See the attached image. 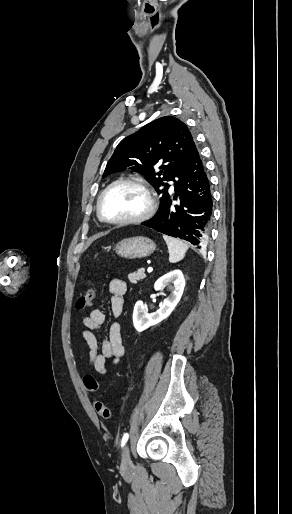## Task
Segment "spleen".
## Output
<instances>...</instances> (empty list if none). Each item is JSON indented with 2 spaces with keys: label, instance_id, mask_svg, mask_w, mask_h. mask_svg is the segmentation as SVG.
<instances>
[{
  "label": "spleen",
  "instance_id": "1",
  "mask_svg": "<svg viewBox=\"0 0 292 514\" xmlns=\"http://www.w3.org/2000/svg\"><path fill=\"white\" fill-rule=\"evenodd\" d=\"M163 238L169 250V262H171V264H176V262L183 260L188 250V244L181 242V240H177V238H170V236H163Z\"/></svg>",
  "mask_w": 292,
  "mask_h": 514
}]
</instances>
